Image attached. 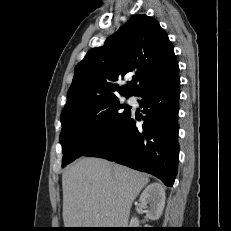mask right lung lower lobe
<instances>
[{
	"label": "right lung lower lobe",
	"mask_w": 231,
	"mask_h": 231,
	"mask_svg": "<svg viewBox=\"0 0 231 231\" xmlns=\"http://www.w3.org/2000/svg\"><path fill=\"white\" fill-rule=\"evenodd\" d=\"M178 76L153 83L136 94L144 109L142 128H137L132 113L121 128L105 143L84 156L101 157L133 169L150 173L172 186L177 175ZM137 119V117H136Z\"/></svg>",
	"instance_id": "98d812e1"
}]
</instances>
